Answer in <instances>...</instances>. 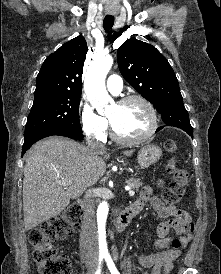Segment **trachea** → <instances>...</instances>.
<instances>
[{"label":"trachea","instance_id":"3493384b","mask_svg":"<svg viewBox=\"0 0 221 274\" xmlns=\"http://www.w3.org/2000/svg\"><path fill=\"white\" fill-rule=\"evenodd\" d=\"M114 24V17L107 15L105 16L103 20V28L107 31L110 30L113 27Z\"/></svg>","mask_w":221,"mask_h":274}]
</instances>
